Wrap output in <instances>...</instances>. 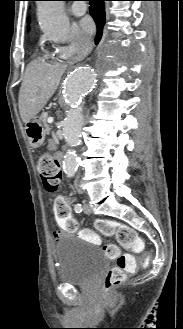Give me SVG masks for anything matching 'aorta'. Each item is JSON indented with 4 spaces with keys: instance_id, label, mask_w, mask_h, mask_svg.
Listing matches in <instances>:
<instances>
[{
    "instance_id": "obj_1",
    "label": "aorta",
    "mask_w": 183,
    "mask_h": 329,
    "mask_svg": "<svg viewBox=\"0 0 183 329\" xmlns=\"http://www.w3.org/2000/svg\"><path fill=\"white\" fill-rule=\"evenodd\" d=\"M37 15L42 31L51 39L63 42L70 31V23L64 13L63 1H38ZM98 70L93 65H82L68 75L63 91V98L69 111L62 123L65 142L74 147L80 143L84 118L81 104L84 97L91 93L97 83ZM77 155L73 149L64 156L63 169L68 177L77 171Z\"/></svg>"
}]
</instances>
